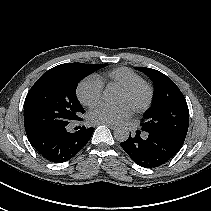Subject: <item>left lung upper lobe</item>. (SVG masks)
Instances as JSON below:
<instances>
[{"instance_id":"obj_1","label":"left lung upper lobe","mask_w":211,"mask_h":211,"mask_svg":"<svg viewBox=\"0 0 211 211\" xmlns=\"http://www.w3.org/2000/svg\"><path fill=\"white\" fill-rule=\"evenodd\" d=\"M136 69L149 76L155 88L152 105L143 115L141 129L182 146L189 125V110L182 92L165 74L146 67Z\"/></svg>"}]
</instances>
